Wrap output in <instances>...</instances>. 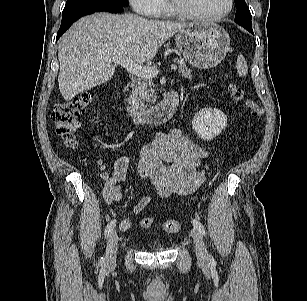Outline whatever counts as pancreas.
<instances>
[{"label": "pancreas", "mask_w": 307, "mask_h": 301, "mask_svg": "<svg viewBox=\"0 0 307 301\" xmlns=\"http://www.w3.org/2000/svg\"><path fill=\"white\" fill-rule=\"evenodd\" d=\"M174 62L179 65V73L191 79L193 74L185 64L184 59L176 58ZM133 97L140 103L150 105L156 101L155 86L152 82V78L137 77L132 81Z\"/></svg>", "instance_id": "pancreas-1"}]
</instances>
